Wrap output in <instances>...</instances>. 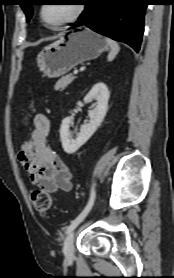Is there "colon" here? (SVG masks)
<instances>
[{"mask_svg": "<svg viewBox=\"0 0 174 278\" xmlns=\"http://www.w3.org/2000/svg\"><path fill=\"white\" fill-rule=\"evenodd\" d=\"M34 147V141L32 136H29L28 138L24 139L19 147L18 153L20 154H27L30 153L33 150ZM31 199L34 208L40 212V213H46L49 211L52 205V199L49 193L43 191V190H35L31 194Z\"/></svg>", "mask_w": 174, "mask_h": 278, "instance_id": "5ec220e1", "label": "colon"}]
</instances>
